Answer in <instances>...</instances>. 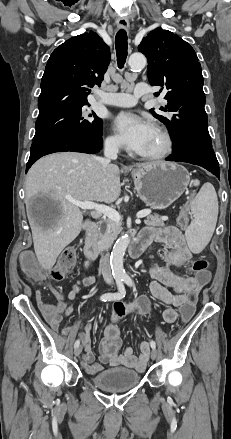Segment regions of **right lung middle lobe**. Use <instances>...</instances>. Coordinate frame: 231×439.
Wrapping results in <instances>:
<instances>
[{
  "instance_id": "obj_1",
  "label": "right lung middle lobe",
  "mask_w": 231,
  "mask_h": 439,
  "mask_svg": "<svg viewBox=\"0 0 231 439\" xmlns=\"http://www.w3.org/2000/svg\"><path fill=\"white\" fill-rule=\"evenodd\" d=\"M82 107L64 109L37 118L33 141L60 135H102V120L94 112L84 114Z\"/></svg>"
}]
</instances>
